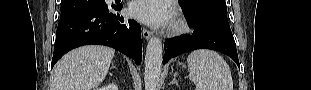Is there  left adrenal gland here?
Returning <instances> with one entry per match:
<instances>
[{
    "label": "left adrenal gland",
    "instance_id": "a2214340",
    "mask_svg": "<svg viewBox=\"0 0 311 90\" xmlns=\"http://www.w3.org/2000/svg\"><path fill=\"white\" fill-rule=\"evenodd\" d=\"M176 77H177V74H174V78H173V80L169 83V85H172V84L178 85V82L176 81Z\"/></svg>",
    "mask_w": 311,
    "mask_h": 90
}]
</instances>
